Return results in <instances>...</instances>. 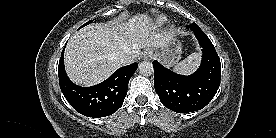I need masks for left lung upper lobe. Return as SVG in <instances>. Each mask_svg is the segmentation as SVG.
Segmentation results:
<instances>
[{"instance_id":"5c2ea615","label":"left lung upper lobe","mask_w":276,"mask_h":138,"mask_svg":"<svg viewBox=\"0 0 276 138\" xmlns=\"http://www.w3.org/2000/svg\"><path fill=\"white\" fill-rule=\"evenodd\" d=\"M197 27H198V25L196 23H192L190 25H187V28H190L191 30H194Z\"/></svg>"}]
</instances>
